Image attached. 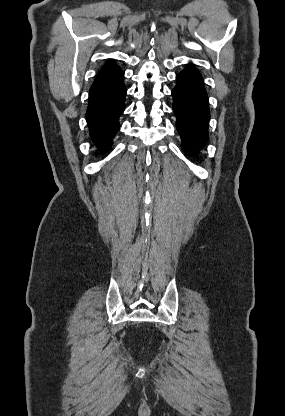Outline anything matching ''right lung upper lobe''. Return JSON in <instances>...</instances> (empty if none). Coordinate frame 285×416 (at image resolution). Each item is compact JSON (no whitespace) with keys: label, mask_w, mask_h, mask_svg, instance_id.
Wrapping results in <instances>:
<instances>
[{"label":"right lung upper lobe","mask_w":285,"mask_h":416,"mask_svg":"<svg viewBox=\"0 0 285 416\" xmlns=\"http://www.w3.org/2000/svg\"><path fill=\"white\" fill-rule=\"evenodd\" d=\"M122 70L111 60H109L99 71L92 86L105 83L116 76L120 75Z\"/></svg>","instance_id":"right-lung-upper-lobe-1"}]
</instances>
